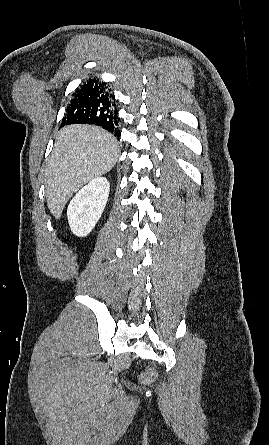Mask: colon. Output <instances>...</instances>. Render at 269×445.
<instances>
[{
    "instance_id": "obj_1",
    "label": "colon",
    "mask_w": 269,
    "mask_h": 445,
    "mask_svg": "<svg viewBox=\"0 0 269 445\" xmlns=\"http://www.w3.org/2000/svg\"><path fill=\"white\" fill-rule=\"evenodd\" d=\"M155 378V372L153 370H148L143 376L142 380L145 382H150Z\"/></svg>"
}]
</instances>
